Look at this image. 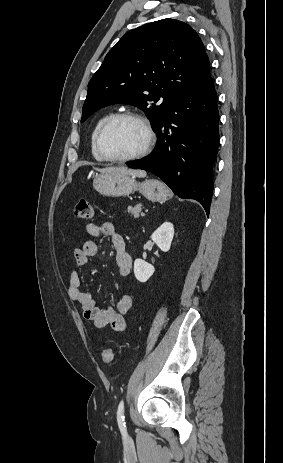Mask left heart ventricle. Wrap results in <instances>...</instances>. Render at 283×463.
Returning a JSON list of instances; mask_svg holds the SVG:
<instances>
[{"label":"left heart ventricle","mask_w":283,"mask_h":463,"mask_svg":"<svg viewBox=\"0 0 283 463\" xmlns=\"http://www.w3.org/2000/svg\"><path fill=\"white\" fill-rule=\"evenodd\" d=\"M146 141L144 129L133 119L113 123L102 137L106 154L114 157L130 156L140 151Z\"/></svg>","instance_id":"b2bd125f"}]
</instances>
